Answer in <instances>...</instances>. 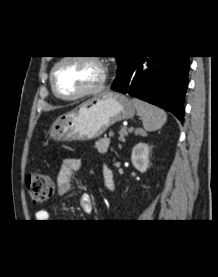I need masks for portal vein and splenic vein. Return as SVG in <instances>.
Here are the masks:
<instances>
[{
  "instance_id": "portal-vein-and-splenic-vein-1",
  "label": "portal vein and splenic vein",
  "mask_w": 218,
  "mask_h": 277,
  "mask_svg": "<svg viewBox=\"0 0 218 277\" xmlns=\"http://www.w3.org/2000/svg\"><path fill=\"white\" fill-rule=\"evenodd\" d=\"M133 128L128 129V132H132ZM125 133H127V130L124 131ZM109 138H112L114 136V132H109L108 134Z\"/></svg>"
}]
</instances>
